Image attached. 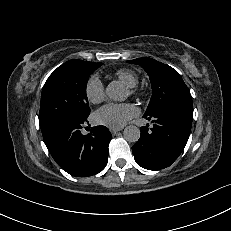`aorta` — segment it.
I'll use <instances>...</instances> for the list:
<instances>
[{
    "label": "aorta",
    "mask_w": 231,
    "mask_h": 231,
    "mask_svg": "<svg viewBox=\"0 0 231 231\" xmlns=\"http://www.w3.org/2000/svg\"><path fill=\"white\" fill-rule=\"evenodd\" d=\"M107 96L114 101H123L127 98L125 88L118 82L112 81L106 88ZM140 129L134 125H129L124 129L123 135L128 142H137L140 138Z\"/></svg>",
    "instance_id": "obj_1"
}]
</instances>
